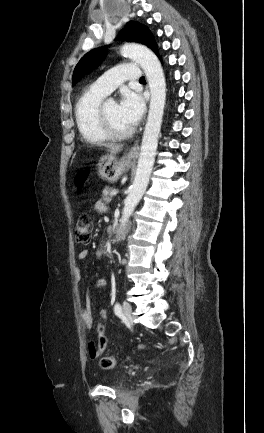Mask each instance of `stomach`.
I'll list each match as a JSON object with an SVG mask.
<instances>
[{
	"label": "stomach",
	"mask_w": 264,
	"mask_h": 433,
	"mask_svg": "<svg viewBox=\"0 0 264 433\" xmlns=\"http://www.w3.org/2000/svg\"><path fill=\"white\" fill-rule=\"evenodd\" d=\"M133 162L127 156L117 160L113 155H104L98 161V174L101 179L114 183L127 172Z\"/></svg>",
	"instance_id": "1"
}]
</instances>
